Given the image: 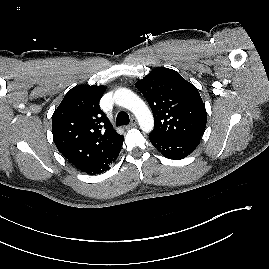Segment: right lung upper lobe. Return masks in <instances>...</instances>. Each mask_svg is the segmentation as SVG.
Instances as JSON below:
<instances>
[{
  "label": "right lung upper lobe",
  "instance_id": "1",
  "mask_svg": "<svg viewBox=\"0 0 269 269\" xmlns=\"http://www.w3.org/2000/svg\"><path fill=\"white\" fill-rule=\"evenodd\" d=\"M105 86H76L53 113V141L76 168L83 169L113 149L123 138L100 109Z\"/></svg>",
  "mask_w": 269,
  "mask_h": 269
}]
</instances>
